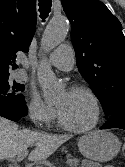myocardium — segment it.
Wrapping results in <instances>:
<instances>
[{"mask_svg": "<svg viewBox=\"0 0 125 167\" xmlns=\"http://www.w3.org/2000/svg\"><path fill=\"white\" fill-rule=\"evenodd\" d=\"M69 91L82 92V93H85L86 95H88L94 104L95 116H94L93 121L89 125H87L85 127H75V126L70 125L64 119L63 115L61 114L60 110L58 109V121H59L60 126L64 129L71 131V132H74V133H84V132H87V131L94 129L97 126V124L99 123V120L101 117V105H100V101H99L97 95L94 93V91L91 88H89L85 85H80V84L72 86Z\"/></svg>", "mask_w": 125, "mask_h": 167, "instance_id": "f54148a6", "label": "myocardium"}]
</instances>
